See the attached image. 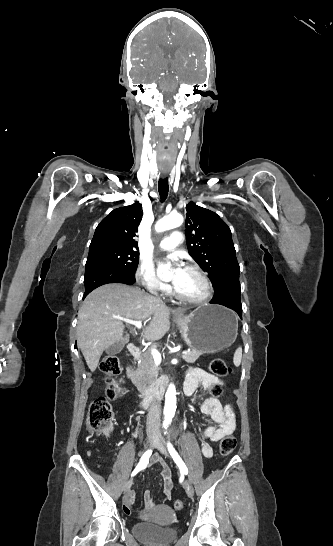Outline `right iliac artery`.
Masks as SVG:
<instances>
[{
	"label": "right iliac artery",
	"mask_w": 333,
	"mask_h": 546,
	"mask_svg": "<svg viewBox=\"0 0 333 546\" xmlns=\"http://www.w3.org/2000/svg\"><path fill=\"white\" fill-rule=\"evenodd\" d=\"M152 454V449H148L141 457L140 462L136 466V468L133 470L131 476H135L139 471L146 468L147 464L149 463V458Z\"/></svg>",
	"instance_id": "obj_1"
}]
</instances>
